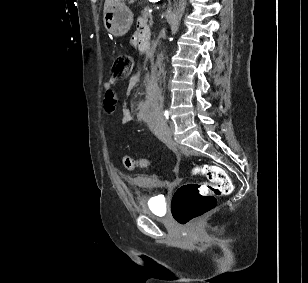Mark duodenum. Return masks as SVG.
I'll return each instance as SVG.
<instances>
[{
  "label": "duodenum",
  "instance_id": "obj_1",
  "mask_svg": "<svg viewBox=\"0 0 308 283\" xmlns=\"http://www.w3.org/2000/svg\"><path fill=\"white\" fill-rule=\"evenodd\" d=\"M141 45L144 47V48H147L149 45H150V38H149V32L146 31L144 34H143V38H141Z\"/></svg>",
  "mask_w": 308,
  "mask_h": 283
}]
</instances>
